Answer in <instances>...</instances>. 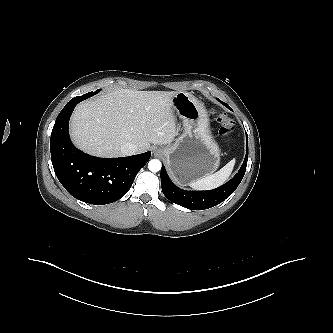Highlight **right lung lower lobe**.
<instances>
[{
    "instance_id": "obj_1",
    "label": "right lung lower lobe",
    "mask_w": 333,
    "mask_h": 333,
    "mask_svg": "<svg viewBox=\"0 0 333 333\" xmlns=\"http://www.w3.org/2000/svg\"><path fill=\"white\" fill-rule=\"evenodd\" d=\"M79 102H68L54 124L50 150L55 174L63 187L83 202L95 205L115 202L129 191L151 152L129 157L98 158L77 149L70 140L68 124Z\"/></svg>"
}]
</instances>
